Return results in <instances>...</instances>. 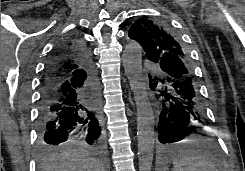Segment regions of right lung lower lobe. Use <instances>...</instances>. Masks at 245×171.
I'll return each mask as SVG.
<instances>
[{"instance_id":"right-lung-lower-lobe-1","label":"right lung lower lobe","mask_w":245,"mask_h":171,"mask_svg":"<svg viewBox=\"0 0 245 171\" xmlns=\"http://www.w3.org/2000/svg\"><path fill=\"white\" fill-rule=\"evenodd\" d=\"M70 58L84 69L79 76L56 77ZM38 115L41 144L83 142L99 146L103 140L100 96L92 57L87 46L75 40L72 52L49 59L42 82Z\"/></svg>"}]
</instances>
